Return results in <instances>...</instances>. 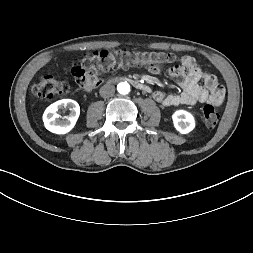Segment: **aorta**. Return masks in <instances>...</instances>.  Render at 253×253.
<instances>
[{
  "label": "aorta",
  "mask_w": 253,
  "mask_h": 253,
  "mask_svg": "<svg viewBox=\"0 0 253 253\" xmlns=\"http://www.w3.org/2000/svg\"><path fill=\"white\" fill-rule=\"evenodd\" d=\"M117 90L120 94L126 95L130 92V85L127 82H120L117 85Z\"/></svg>",
  "instance_id": "aorta-1"
}]
</instances>
